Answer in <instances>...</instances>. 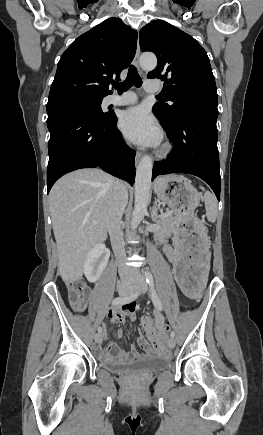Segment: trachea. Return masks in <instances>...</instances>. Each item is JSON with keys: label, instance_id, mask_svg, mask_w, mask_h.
<instances>
[{"label": "trachea", "instance_id": "3493384b", "mask_svg": "<svg viewBox=\"0 0 263 435\" xmlns=\"http://www.w3.org/2000/svg\"><path fill=\"white\" fill-rule=\"evenodd\" d=\"M112 85L115 89H117L118 93L121 94V93L127 91L128 89H130V87L132 85H134L138 88L141 87L142 86V79L139 76L136 67L131 65L129 67L127 78L121 83L115 82Z\"/></svg>", "mask_w": 263, "mask_h": 435}]
</instances>
